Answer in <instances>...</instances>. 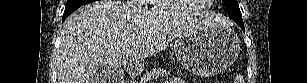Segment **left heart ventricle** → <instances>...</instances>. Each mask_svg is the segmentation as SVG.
Segmentation results:
<instances>
[{
    "instance_id": "obj_1",
    "label": "left heart ventricle",
    "mask_w": 307,
    "mask_h": 83,
    "mask_svg": "<svg viewBox=\"0 0 307 83\" xmlns=\"http://www.w3.org/2000/svg\"><path fill=\"white\" fill-rule=\"evenodd\" d=\"M200 0H180L178 1V5L183 10H190L196 6H198Z\"/></svg>"
}]
</instances>
